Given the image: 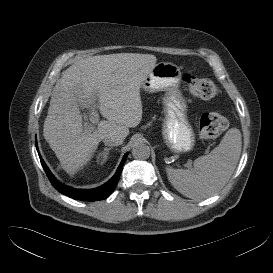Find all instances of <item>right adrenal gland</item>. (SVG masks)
Here are the masks:
<instances>
[{"mask_svg": "<svg viewBox=\"0 0 273 273\" xmlns=\"http://www.w3.org/2000/svg\"><path fill=\"white\" fill-rule=\"evenodd\" d=\"M112 149H113L112 146L111 147H106V148H104V150L102 152H100L98 154L99 157L101 156L103 158L102 161H101V164H103V163H105L107 161L109 151L112 150Z\"/></svg>", "mask_w": 273, "mask_h": 273, "instance_id": "2a0ac1e0", "label": "right adrenal gland"}]
</instances>
